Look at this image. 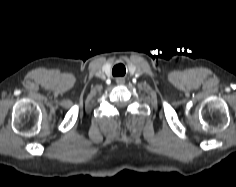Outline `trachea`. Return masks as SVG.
Returning a JSON list of instances; mask_svg holds the SVG:
<instances>
[{
  "label": "trachea",
  "mask_w": 236,
  "mask_h": 187,
  "mask_svg": "<svg viewBox=\"0 0 236 187\" xmlns=\"http://www.w3.org/2000/svg\"><path fill=\"white\" fill-rule=\"evenodd\" d=\"M126 73L125 66L123 64H116L112 69L113 76H124Z\"/></svg>",
  "instance_id": "obj_1"
}]
</instances>
